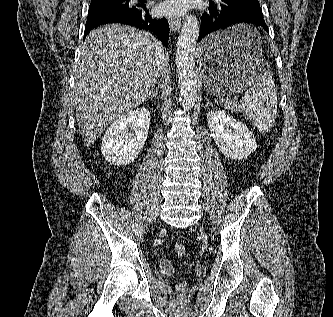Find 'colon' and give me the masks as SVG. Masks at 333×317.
<instances>
[{
	"instance_id": "1",
	"label": "colon",
	"mask_w": 333,
	"mask_h": 317,
	"mask_svg": "<svg viewBox=\"0 0 333 317\" xmlns=\"http://www.w3.org/2000/svg\"><path fill=\"white\" fill-rule=\"evenodd\" d=\"M174 251H175V253H176L178 256L182 257V256H184L185 253H186V247H185V245L182 244V243H177V244L174 246ZM185 288H186V286H185V283H184V282H181V283L179 284V286H178V289H179L180 291H184Z\"/></svg>"
}]
</instances>
